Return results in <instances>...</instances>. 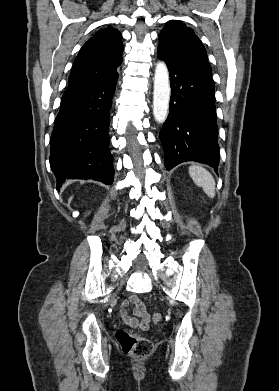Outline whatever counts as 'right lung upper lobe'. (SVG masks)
I'll return each mask as SVG.
<instances>
[{
  "mask_svg": "<svg viewBox=\"0 0 279 391\" xmlns=\"http://www.w3.org/2000/svg\"><path fill=\"white\" fill-rule=\"evenodd\" d=\"M121 33L111 26L98 31L81 48L72 66L67 90L102 82L122 63Z\"/></svg>",
  "mask_w": 279,
  "mask_h": 391,
  "instance_id": "obj_1",
  "label": "right lung upper lobe"
}]
</instances>
